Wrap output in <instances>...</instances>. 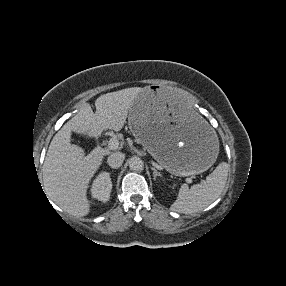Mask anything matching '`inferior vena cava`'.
<instances>
[{
  "instance_id": "obj_1",
  "label": "inferior vena cava",
  "mask_w": 286,
  "mask_h": 286,
  "mask_svg": "<svg viewBox=\"0 0 286 286\" xmlns=\"http://www.w3.org/2000/svg\"><path fill=\"white\" fill-rule=\"evenodd\" d=\"M125 159V155L121 152H115L112 153L109 157H108V165L112 168H119L121 167L123 161Z\"/></svg>"
}]
</instances>
